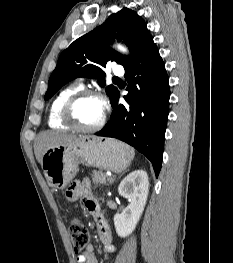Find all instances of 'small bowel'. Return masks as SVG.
I'll use <instances>...</instances> for the list:
<instances>
[{"label":"small bowel","instance_id":"small-bowel-1","mask_svg":"<svg viewBox=\"0 0 233 263\" xmlns=\"http://www.w3.org/2000/svg\"><path fill=\"white\" fill-rule=\"evenodd\" d=\"M66 197L75 201L83 199L85 209L91 213L96 221L100 241L104 246V255L116 252V247L112 244V236L107 222L99 211V206L91 192V184L88 180L73 182L66 191ZM77 263H98L94 254L93 246L89 244L86 250L77 256Z\"/></svg>","mask_w":233,"mask_h":263}]
</instances>
